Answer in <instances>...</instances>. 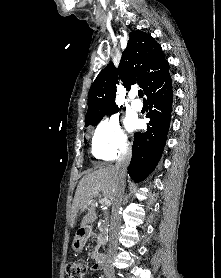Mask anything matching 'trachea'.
I'll use <instances>...</instances> for the list:
<instances>
[{
    "label": "trachea",
    "mask_w": 221,
    "mask_h": 278,
    "mask_svg": "<svg viewBox=\"0 0 221 278\" xmlns=\"http://www.w3.org/2000/svg\"><path fill=\"white\" fill-rule=\"evenodd\" d=\"M138 95H139V97L142 98V97H143V91H142V90H139V91H138Z\"/></svg>",
    "instance_id": "1"
}]
</instances>
